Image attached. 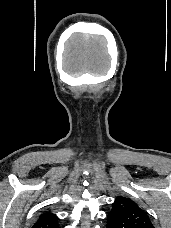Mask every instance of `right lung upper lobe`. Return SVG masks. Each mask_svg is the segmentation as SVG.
<instances>
[{
	"label": "right lung upper lobe",
	"instance_id": "right-lung-upper-lobe-1",
	"mask_svg": "<svg viewBox=\"0 0 171 228\" xmlns=\"http://www.w3.org/2000/svg\"><path fill=\"white\" fill-rule=\"evenodd\" d=\"M32 228H59L58 218L50 212L42 213Z\"/></svg>",
	"mask_w": 171,
	"mask_h": 228
}]
</instances>
